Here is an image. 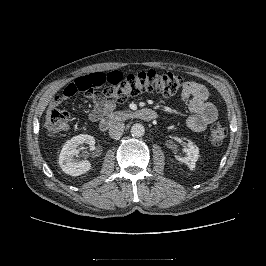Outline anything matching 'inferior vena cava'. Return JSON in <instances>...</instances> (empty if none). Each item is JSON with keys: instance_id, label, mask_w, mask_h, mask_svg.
I'll use <instances>...</instances> for the list:
<instances>
[{"instance_id": "obj_1", "label": "inferior vena cava", "mask_w": 266, "mask_h": 266, "mask_svg": "<svg viewBox=\"0 0 266 266\" xmlns=\"http://www.w3.org/2000/svg\"><path fill=\"white\" fill-rule=\"evenodd\" d=\"M125 125L123 122L114 123L109 129V135L112 138H120L124 132Z\"/></svg>"}]
</instances>
